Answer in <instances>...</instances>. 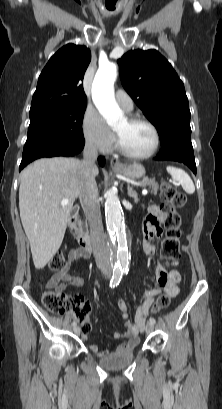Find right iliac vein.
<instances>
[{
    "instance_id": "63e3f726",
    "label": "right iliac vein",
    "mask_w": 222,
    "mask_h": 409,
    "mask_svg": "<svg viewBox=\"0 0 222 409\" xmlns=\"http://www.w3.org/2000/svg\"><path fill=\"white\" fill-rule=\"evenodd\" d=\"M74 333H76V334L80 333V327L79 326L74 327Z\"/></svg>"
}]
</instances>
